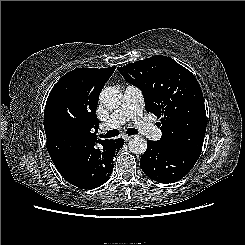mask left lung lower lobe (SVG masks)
<instances>
[{"label": "left lung lower lobe", "mask_w": 245, "mask_h": 245, "mask_svg": "<svg viewBox=\"0 0 245 245\" xmlns=\"http://www.w3.org/2000/svg\"><path fill=\"white\" fill-rule=\"evenodd\" d=\"M199 156L191 151L167 150L159 142L149 140L140 166L151 179L160 183H174L193 168Z\"/></svg>", "instance_id": "left-lung-lower-lobe-1"}]
</instances>
